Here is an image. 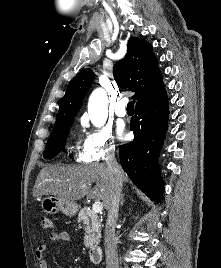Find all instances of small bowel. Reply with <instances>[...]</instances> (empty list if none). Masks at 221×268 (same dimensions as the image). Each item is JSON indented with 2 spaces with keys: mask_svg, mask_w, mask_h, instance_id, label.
I'll list each match as a JSON object with an SVG mask.
<instances>
[{
  "mask_svg": "<svg viewBox=\"0 0 221 268\" xmlns=\"http://www.w3.org/2000/svg\"><path fill=\"white\" fill-rule=\"evenodd\" d=\"M51 242L70 241V235L66 232H52L49 235ZM48 250L47 244L38 246L35 250V257L38 260L39 268H50L47 260L45 259L46 252Z\"/></svg>",
  "mask_w": 221,
  "mask_h": 268,
  "instance_id": "small-bowel-1",
  "label": "small bowel"
}]
</instances>
